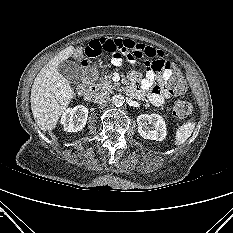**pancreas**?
<instances>
[{"mask_svg": "<svg viewBox=\"0 0 233 233\" xmlns=\"http://www.w3.org/2000/svg\"><path fill=\"white\" fill-rule=\"evenodd\" d=\"M112 76L107 75L96 84L97 88L101 91L112 92L118 85L112 83Z\"/></svg>", "mask_w": 233, "mask_h": 233, "instance_id": "1", "label": "pancreas"}]
</instances>
